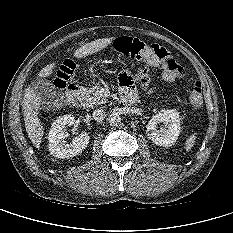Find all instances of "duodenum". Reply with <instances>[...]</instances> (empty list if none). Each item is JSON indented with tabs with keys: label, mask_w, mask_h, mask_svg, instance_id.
<instances>
[{
	"label": "duodenum",
	"mask_w": 233,
	"mask_h": 233,
	"mask_svg": "<svg viewBox=\"0 0 233 233\" xmlns=\"http://www.w3.org/2000/svg\"><path fill=\"white\" fill-rule=\"evenodd\" d=\"M79 93L80 87L77 84H70L66 90L67 103L70 105H76L78 103ZM125 99L131 102L133 100V96H128Z\"/></svg>",
	"instance_id": "duodenum-1"
}]
</instances>
